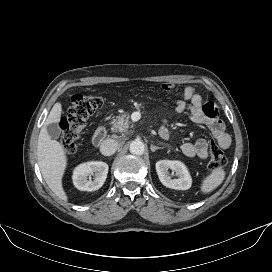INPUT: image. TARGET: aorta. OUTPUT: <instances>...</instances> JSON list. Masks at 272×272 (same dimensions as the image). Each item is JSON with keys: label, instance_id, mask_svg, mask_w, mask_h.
Wrapping results in <instances>:
<instances>
[{"label": "aorta", "instance_id": "1", "mask_svg": "<svg viewBox=\"0 0 272 272\" xmlns=\"http://www.w3.org/2000/svg\"><path fill=\"white\" fill-rule=\"evenodd\" d=\"M129 150L134 155H142L145 151V145L140 140H134L130 143Z\"/></svg>", "mask_w": 272, "mask_h": 272}]
</instances>
